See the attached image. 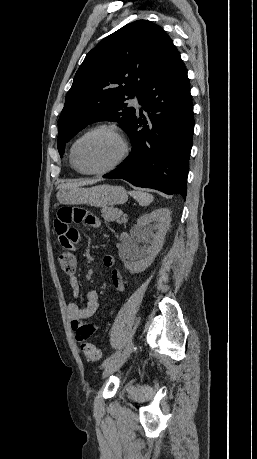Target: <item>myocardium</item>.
<instances>
[{
  "instance_id": "1",
  "label": "myocardium",
  "mask_w": 257,
  "mask_h": 459,
  "mask_svg": "<svg viewBox=\"0 0 257 459\" xmlns=\"http://www.w3.org/2000/svg\"><path fill=\"white\" fill-rule=\"evenodd\" d=\"M99 131H108L112 133L114 136H116L122 146L121 153L112 164H110L109 166L105 168L97 169V170H85L79 165L77 161V158H76L77 146L83 139ZM128 154H129L128 141L124 133L122 132V130L113 124H100V125L90 128L88 131H86L80 137L76 139V141L73 143L71 150H70V157H71L72 163L74 167L76 168V170L82 174H87V175H102V174H106V173H109L115 170L124 162Z\"/></svg>"
}]
</instances>
